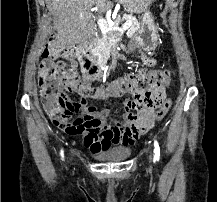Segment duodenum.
Masks as SVG:
<instances>
[{
  "label": "duodenum",
  "instance_id": "410a0bca",
  "mask_svg": "<svg viewBox=\"0 0 217 202\" xmlns=\"http://www.w3.org/2000/svg\"><path fill=\"white\" fill-rule=\"evenodd\" d=\"M82 72L86 79L95 80L101 77V70L98 67L94 55L92 45L83 47L80 55Z\"/></svg>",
  "mask_w": 217,
  "mask_h": 202
}]
</instances>
